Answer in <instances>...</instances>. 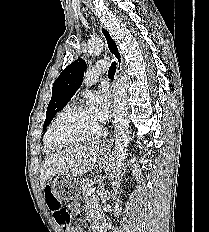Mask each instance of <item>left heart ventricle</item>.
I'll return each instance as SVG.
<instances>
[{"instance_id":"left-heart-ventricle-1","label":"left heart ventricle","mask_w":209,"mask_h":232,"mask_svg":"<svg viewBox=\"0 0 209 232\" xmlns=\"http://www.w3.org/2000/svg\"><path fill=\"white\" fill-rule=\"evenodd\" d=\"M100 121L90 109L70 114L60 120L53 129V138L58 142L68 141L93 133Z\"/></svg>"}]
</instances>
